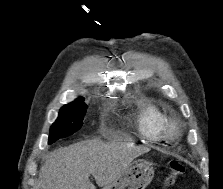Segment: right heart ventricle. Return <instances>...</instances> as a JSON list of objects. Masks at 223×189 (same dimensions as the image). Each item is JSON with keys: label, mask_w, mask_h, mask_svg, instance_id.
I'll list each match as a JSON object with an SVG mask.
<instances>
[{"label": "right heart ventricle", "mask_w": 223, "mask_h": 189, "mask_svg": "<svg viewBox=\"0 0 223 189\" xmlns=\"http://www.w3.org/2000/svg\"><path fill=\"white\" fill-rule=\"evenodd\" d=\"M168 120L166 112L159 105L149 101L137 103L129 118L131 127L148 143L169 139L165 131Z\"/></svg>", "instance_id": "1"}]
</instances>
